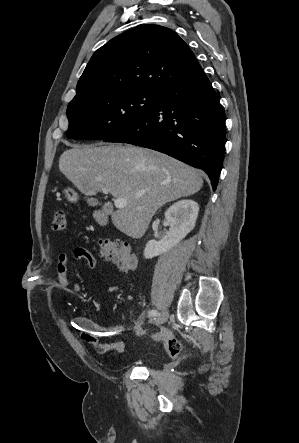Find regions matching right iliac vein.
<instances>
[{"instance_id":"63e3f726","label":"right iliac vein","mask_w":299,"mask_h":443,"mask_svg":"<svg viewBox=\"0 0 299 443\" xmlns=\"http://www.w3.org/2000/svg\"><path fill=\"white\" fill-rule=\"evenodd\" d=\"M169 317L168 311H163L156 319H155V324L156 325H161L163 323H165L167 321Z\"/></svg>"}]
</instances>
